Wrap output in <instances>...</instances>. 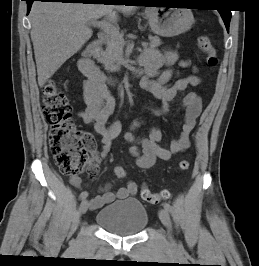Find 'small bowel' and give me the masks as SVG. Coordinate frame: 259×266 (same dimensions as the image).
Masks as SVG:
<instances>
[{"mask_svg": "<svg viewBox=\"0 0 259 266\" xmlns=\"http://www.w3.org/2000/svg\"><path fill=\"white\" fill-rule=\"evenodd\" d=\"M146 76L142 79V86L148 89L156 98L162 101L160 107L145 106V110L156 117L171 115L170 101L178 92L189 86H198L202 83L197 75V69L190 61H180L182 67H192L193 74L186 78H178L172 66L177 63V55L174 52H146L140 56ZM85 108L78 113V117L86 124H91L94 130L102 136V149L100 151L91 147L92 158L88 167V173L93 178L98 170L99 163L110 151L113 139L119 134L121 126L118 121L111 124L108 119L112 114L115 102L104 84L87 80L84 86ZM178 110L183 115V126L177 140L169 147L161 145L162 132L157 126H152L145 136H138L137 129L145 123L144 120H136L131 128L124 134L125 141L130 145L129 152L140 168H150L157 159L168 160L173 155L184 152L190 146V134L196 126L202 112V100L195 92L187 93L180 101ZM75 187H80L81 179L77 175L70 178ZM136 183L130 181L125 187L116 192L106 186L102 193L89 201L90 209H98L116 199H125L137 193Z\"/></svg>", "mask_w": 259, "mask_h": 266, "instance_id": "c3829d8e", "label": "small bowel"}]
</instances>
